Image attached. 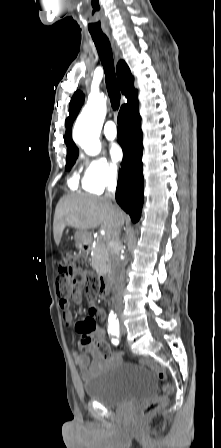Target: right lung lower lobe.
Returning <instances> with one entry per match:
<instances>
[{
  "label": "right lung lower lobe",
  "instance_id": "98d812e1",
  "mask_svg": "<svg viewBox=\"0 0 221 448\" xmlns=\"http://www.w3.org/2000/svg\"><path fill=\"white\" fill-rule=\"evenodd\" d=\"M118 140L123 149L116 201L135 223L143 205L142 131L138 100L121 108L118 114Z\"/></svg>",
  "mask_w": 221,
  "mask_h": 448
}]
</instances>
